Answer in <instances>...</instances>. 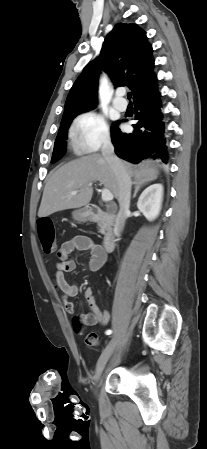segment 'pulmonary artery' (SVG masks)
Masks as SVG:
<instances>
[{"label": "pulmonary artery", "mask_w": 207, "mask_h": 449, "mask_svg": "<svg viewBox=\"0 0 207 449\" xmlns=\"http://www.w3.org/2000/svg\"><path fill=\"white\" fill-rule=\"evenodd\" d=\"M113 105L119 111H125L127 108V102L123 98V92H117L113 98Z\"/></svg>", "instance_id": "e3ab8cb5"}]
</instances>
